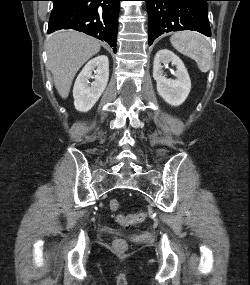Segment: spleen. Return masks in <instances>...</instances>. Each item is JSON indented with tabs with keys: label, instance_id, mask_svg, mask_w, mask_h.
<instances>
[{
	"label": "spleen",
	"instance_id": "spleen-1",
	"mask_svg": "<svg viewBox=\"0 0 250 285\" xmlns=\"http://www.w3.org/2000/svg\"><path fill=\"white\" fill-rule=\"evenodd\" d=\"M170 42L181 54L193 59L201 72L206 73L210 70L211 46L202 34L195 31H181L174 33Z\"/></svg>",
	"mask_w": 250,
	"mask_h": 285
}]
</instances>
